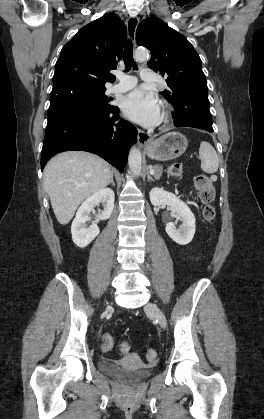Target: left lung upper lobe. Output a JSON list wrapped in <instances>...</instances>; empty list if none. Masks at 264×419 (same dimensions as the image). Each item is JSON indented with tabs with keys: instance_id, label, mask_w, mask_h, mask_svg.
<instances>
[{
	"instance_id": "left-lung-upper-lobe-1",
	"label": "left lung upper lobe",
	"mask_w": 264,
	"mask_h": 419,
	"mask_svg": "<svg viewBox=\"0 0 264 419\" xmlns=\"http://www.w3.org/2000/svg\"><path fill=\"white\" fill-rule=\"evenodd\" d=\"M136 41L151 52L148 67L166 77L168 88L160 92L175 109L186 99L207 95L201 59L191 43L158 18L140 23Z\"/></svg>"
}]
</instances>
